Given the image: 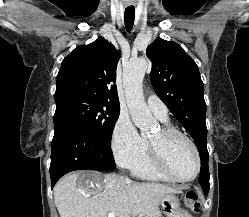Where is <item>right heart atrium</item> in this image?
Wrapping results in <instances>:
<instances>
[{
	"label": "right heart atrium",
	"instance_id": "right-heart-atrium-1",
	"mask_svg": "<svg viewBox=\"0 0 249 217\" xmlns=\"http://www.w3.org/2000/svg\"><path fill=\"white\" fill-rule=\"evenodd\" d=\"M111 146L118 164L130 168L140 158L147 143L138 134L130 119L120 115L112 131Z\"/></svg>",
	"mask_w": 249,
	"mask_h": 217
}]
</instances>
